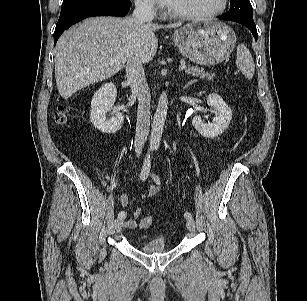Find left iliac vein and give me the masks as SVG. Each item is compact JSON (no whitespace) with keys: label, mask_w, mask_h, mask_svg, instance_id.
Wrapping results in <instances>:
<instances>
[{"label":"left iliac vein","mask_w":307,"mask_h":301,"mask_svg":"<svg viewBox=\"0 0 307 301\" xmlns=\"http://www.w3.org/2000/svg\"><path fill=\"white\" fill-rule=\"evenodd\" d=\"M187 229L190 232H195V222H194V220L192 218L191 219H187Z\"/></svg>","instance_id":"1"}]
</instances>
